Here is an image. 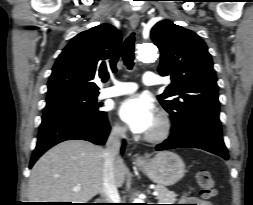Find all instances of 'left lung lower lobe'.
<instances>
[{
    "label": "left lung lower lobe",
    "instance_id": "left-lung-lower-lobe-1",
    "mask_svg": "<svg viewBox=\"0 0 253 205\" xmlns=\"http://www.w3.org/2000/svg\"><path fill=\"white\" fill-rule=\"evenodd\" d=\"M193 147L206 150L228 160V153L223 142L221 122L219 118L203 115L193 119L185 128L172 127L171 135L162 144L156 146L157 151Z\"/></svg>",
    "mask_w": 253,
    "mask_h": 205
}]
</instances>
